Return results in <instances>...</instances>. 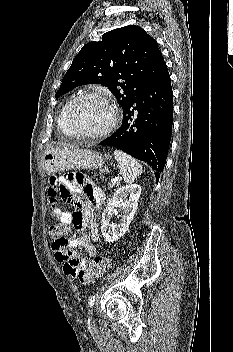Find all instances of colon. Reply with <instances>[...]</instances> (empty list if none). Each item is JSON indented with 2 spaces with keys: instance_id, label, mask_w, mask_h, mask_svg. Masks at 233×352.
Instances as JSON below:
<instances>
[{
  "instance_id": "obj_1",
  "label": "colon",
  "mask_w": 233,
  "mask_h": 352,
  "mask_svg": "<svg viewBox=\"0 0 233 352\" xmlns=\"http://www.w3.org/2000/svg\"><path fill=\"white\" fill-rule=\"evenodd\" d=\"M49 235L57 241L61 247H65L68 238L66 237L67 228L58 222H51L48 225ZM111 261L109 257L101 253L97 255L85 268L77 273V278L81 285L87 286L92 284L98 277L109 270Z\"/></svg>"
}]
</instances>
